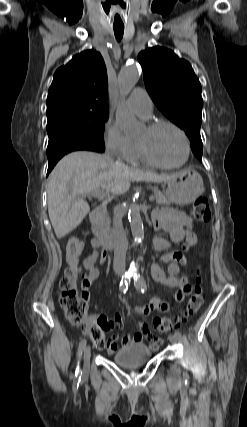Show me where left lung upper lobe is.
Returning <instances> with one entry per match:
<instances>
[{"mask_svg": "<svg viewBox=\"0 0 247 427\" xmlns=\"http://www.w3.org/2000/svg\"><path fill=\"white\" fill-rule=\"evenodd\" d=\"M138 60L153 102L168 119L185 131L194 155L202 161L200 127L203 99L201 84L190 63L159 46L140 52Z\"/></svg>", "mask_w": 247, "mask_h": 427, "instance_id": "1", "label": "left lung upper lobe"}]
</instances>
